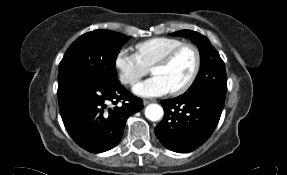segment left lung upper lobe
Instances as JSON below:
<instances>
[{"label":"left lung upper lobe","instance_id":"obj_1","mask_svg":"<svg viewBox=\"0 0 287 175\" xmlns=\"http://www.w3.org/2000/svg\"><path fill=\"white\" fill-rule=\"evenodd\" d=\"M171 35L189 38L200 50L199 74L185 94L213 93L225 97L227 92L225 65L210 41L202 34L190 30L178 31Z\"/></svg>","mask_w":287,"mask_h":175}]
</instances>
